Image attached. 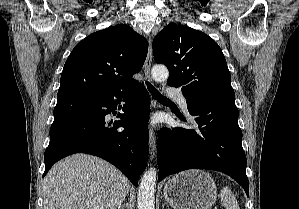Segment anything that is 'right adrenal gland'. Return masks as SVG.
<instances>
[{"mask_svg": "<svg viewBox=\"0 0 299 209\" xmlns=\"http://www.w3.org/2000/svg\"><path fill=\"white\" fill-rule=\"evenodd\" d=\"M120 209H124V207L122 206Z\"/></svg>", "mask_w": 299, "mask_h": 209, "instance_id": "1", "label": "right adrenal gland"}]
</instances>
